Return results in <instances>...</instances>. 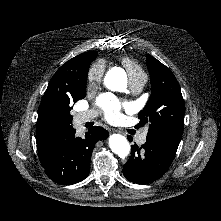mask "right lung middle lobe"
<instances>
[{
    "label": "right lung middle lobe",
    "instance_id": "obj_1",
    "mask_svg": "<svg viewBox=\"0 0 221 221\" xmlns=\"http://www.w3.org/2000/svg\"><path fill=\"white\" fill-rule=\"evenodd\" d=\"M86 81L87 80H85L79 86H76V88L70 94H63V98L60 102L59 118L60 121L67 126H71L73 119V116L70 114L72 104L84 98L86 95Z\"/></svg>",
    "mask_w": 221,
    "mask_h": 221
}]
</instances>
